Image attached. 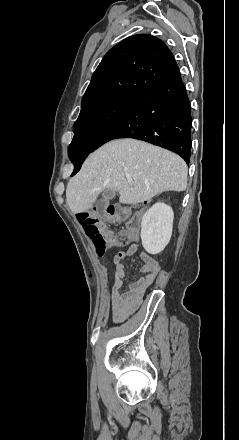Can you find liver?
I'll return each mask as SVG.
<instances>
[{"label":"liver","mask_w":239,"mask_h":440,"mask_svg":"<svg viewBox=\"0 0 239 440\" xmlns=\"http://www.w3.org/2000/svg\"><path fill=\"white\" fill-rule=\"evenodd\" d=\"M187 172L184 160L169 150L132 138L112 140L90 154L71 178L66 202L73 214L87 212L109 188L119 192L121 204H139L167 190L184 192Z\"/></svg>","instance_id":"6515ba94"}]
</instances>
